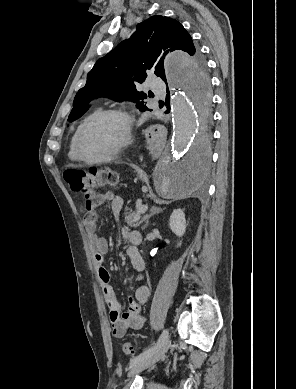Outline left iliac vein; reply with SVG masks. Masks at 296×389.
<instances>
[{
    "label": "left iliac vein",
    "mask_w": 296,
    "mask_h": 389,
    "mask_svg": "<svg viewBox=\"0 0 296 389\" xmlns=\"http://www.w3.org/2000/svg\"><path fill=\"white\" fill-rule=\"evenodd\" d=\"M171 346V340L167 337L156 349V351L147 358L142 359L135 365L130 367L128 376L132 377L138 374L139 372L153 366L156 364L168 351Z\"/></svg>",
    "instance_id": "1"
}]
</instances>
